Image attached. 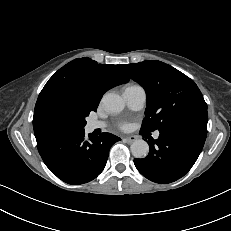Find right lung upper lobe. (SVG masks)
Returning a JSON list of instances; mask_svg holds the SVG:
<instances>
[{
	"label": "right lung upper lobe",
	"instance_id": "obj_1",
	"mask_svg": "<svg viewBox=\"0 0 231 231\" xmlns=\"http://www.w3.org/2000/svg\"><path fill=\"white\" fill-rule=\"evenodd\" d=\"M129 81L120 65L98 64L88 58H77L59 69L40 92L33 117L34 133L43 105L54 95L64 92L81 93L96 111L103 94L110 88Z\"/></svg>",
	"mask_w": 231,
	"mask_h": 231
}]
</instances>
